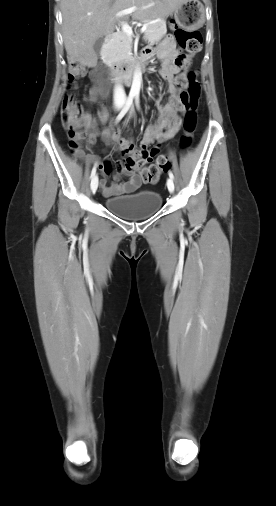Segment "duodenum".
I'll return each instance as SVG.
<instances>
[{
    "label": "duodenum",
    "instance_id": "410a0bca",
    "mask_svg": "<svg viewBox=\"0 0 276 506\" xmlns=\"http://www.w3.org/2000/svg\"><path fill=\"white\" fill-rule=\"evenodd\" d=\"M113 39V33H109L104 37V44L108 45ZM147 61L146 55H142L131 62H112L110 67L114 80L130 81L135 74L144 67Z\"/></svg>",
    "mask_w": 276,
    "mask_h": 506
}]
</instances>
